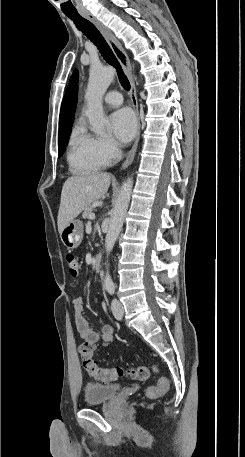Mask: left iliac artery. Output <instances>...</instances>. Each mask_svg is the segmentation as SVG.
Returning a JSON list of instances; mask_svg holds the SVG:
<instances>
[{
    "label": "left iliac artery",
    "mask_w": 245,
    "mask_h": 457,
    "mask_svg": "<svg viewBox=\"0 0 245 457\" xmlns=\"http://www.w3.org/2000/svg\"><path fill=\"white\" fill-rule=\"evenodd\" d=\"M107 291L109 292L110 295H113L115 292V286L114 285H109L106 287Z\"/></svg>",
    "instance_id": "left-iliac-artery-1"
}]
</instances>
